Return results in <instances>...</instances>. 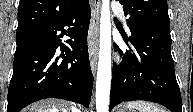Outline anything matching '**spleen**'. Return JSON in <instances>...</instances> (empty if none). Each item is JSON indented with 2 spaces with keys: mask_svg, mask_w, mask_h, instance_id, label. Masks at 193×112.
Instances as JSON below:
<instances>
[{
  "mask_svg": "<svg viewBox=\"0 0 193 112\" xmlns=\"http://www.w3.org/2000/svg\"><path fill=\"white\" fill-rule=\"evenodd\" d=\"M127 107L137 109L139 112H163L156 105L145 101H132L127 104Z\"/></svg>",
  "mask_w": 193,
  "mask_h": 112,
  "instance_id": "1",
  "label": "spleen"
}]
</instances>
